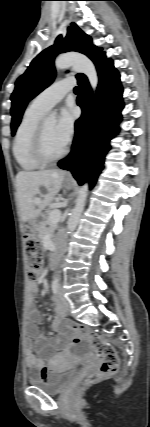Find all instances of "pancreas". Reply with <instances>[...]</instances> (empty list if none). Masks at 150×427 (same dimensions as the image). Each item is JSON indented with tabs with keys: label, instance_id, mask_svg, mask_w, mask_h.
I'll return each mask as SVG.
<instances>
[{
	"label": "pancreas",
	"instance_id": "obj_1",
	"mask_svg": "<svg viewBox=\"0 0 150 427\" xmlns=\"http://www.w3.org/2000/svg\"><path fill=\"white\" fill-rule=\"evenodd\" d=\"M46 225H52L49 221V217L45 221H43L38 228V235L40 239H43L45 235L50 234L53 240H56V235L53 234L55 225H52L51 227H46Z\"/></svg>",
	"mask_w": 150,
	"mask_h": 427
}]
</instances>
